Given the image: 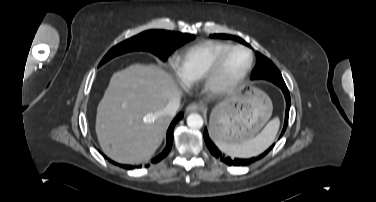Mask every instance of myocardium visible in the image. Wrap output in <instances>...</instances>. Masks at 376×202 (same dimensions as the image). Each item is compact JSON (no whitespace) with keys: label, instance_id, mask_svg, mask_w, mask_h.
Returning <instances> with one entry per match:
<instances>
[{"label":"myocardium","instance_id":"obj_1","mask_svg":"<svg viewBox=\"0 0 376 202\" xmlns=\"http://www.w3.org/2000/svg\"><path fill=\"white\" fill-rule=\"evenodd\" d=\"M236 50H243L248 53L249 55V62L245 69L234 79L224 82L221 79V72L224 66V63L228 56L236 51ZM254 62V55L252 51L243 46V45H232L227 48L224 52L220 54V56L216 59L210 69L207 71L203 81L204 87L206 91L215 97L225 96L233 92L247 77L249 74L252 65Z\"/></svg>","mask_w":376,"mask_h":202}]
</instances>
